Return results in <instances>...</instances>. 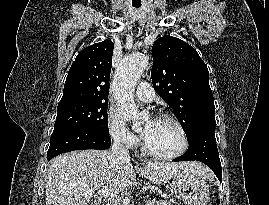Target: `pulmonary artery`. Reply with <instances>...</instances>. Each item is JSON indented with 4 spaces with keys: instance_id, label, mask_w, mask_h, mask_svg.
Segmentation results:
<instances>
[{
    "instance_id": "pulmonary-artery-1",
    "label": "pulmonary artery",
    "mask_w": 269,
    "mask_h": 205,
    "mask_svg": "<svg viewBox=\"0 0 269 205\" xmlns=\"http://www.w3.org/2000/svg\"><path fill=\"white\" fill-rule=\"evenodd\" d=\"M136 96L144 102H151L155 97V91L148 82H141L136 89Z\"/></svg>"
}]
</instances>
